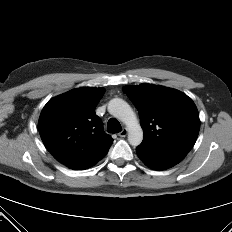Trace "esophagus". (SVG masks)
<instances>
[{"mask_svg":"<svg viewBox=\"0 0 232 232\" xmlns=\"http://www.w3.org/2000/svg\"><path fill=\"white\" fill-rule=\"evenodd\" d=\"M128 131L126 128H124L121 132L118 133V136L125 137L127 135Z\"/></svg>","mask_w":232,"mask_h":232,"instance_id":"34e87169","label":"esophagus"}]
</instances>
